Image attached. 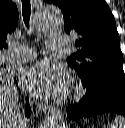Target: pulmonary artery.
I'll use <instances>...</instances> for the list:
<instances>
[{"mask_svg":"<svg viewBox=\"0 0 125 128\" xmlns=\"http://www.w3.org/2000/svg\"><path fill=\"white\" fill-rule=\"evenodd\" d=\"M66 41L67 37L63 34H51L48 37L47 47L51 50H59L66 46ZM35 56L36 53L33 49L13 43L4 60L8 63H24L32 60Z\"/></svg>","mask_w":125,"mask_h":128,"instance_id":"pulmonary-artery-1","label":"pulmonary artery"}]
</instances>
